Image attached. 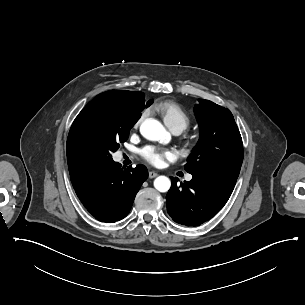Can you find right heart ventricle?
<instances>
[{
	"label": "right heart ventricle",
	"instance_id": "obj_1",
	"mask_svg": "<svg viewBox=\"0 0 305 305\" xmlns=\"http://www.w3.org/2000/svg\"><path fill=\"white\" fill-rule=\"evenodd\" d=\"M153 108L170 130L181 129L183 132L190 128L192 124L190 116L174 102H158L154 104Z\"/></svg>",
	"mask_w": 305,
	"mask_h": 305
}]
</instances>
